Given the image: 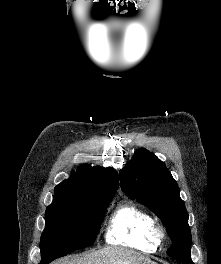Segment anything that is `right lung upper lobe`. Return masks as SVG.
Returning a JSON list of instances; mask_svg holds the SVG:
<instances>
[{
    "mask_svg": "<svg viewBox=\"0 0 221 264\" xmlns=\"http://www.w3.org/2000/svg\"><path fill=\"white\" fill-rule=\"evenodd\" d=\"M119 186L113 168H98L84 164L69 179L55 187L53 203L73 205L91 198L115 195Z\"/></svg>",
    "mask_w": 221,
    "mask_h": 264,
    "instance_id": "1",
    "label": "right lung upper lobe"
}]
</instances>
